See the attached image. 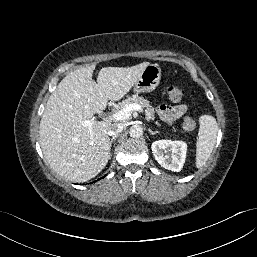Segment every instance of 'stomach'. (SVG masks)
I'll return each instance as SVG.
<instances>
[{
    "mask_svg": "<svg viewBox=\"0 0 257 257\" xmlns=\"http://www.w3.org/2000/svg\"><path fill=\"white\" fill-rule=\"evenodd\" d=\"M161 69L157 64H149L133 85L135 93L151 92L160 83Z\"/></svg>",
    "mask_w": 257,
    "mask_h": 257,
    "instance_id": "0dacf381",
    "label": "stomach"
}]
</instances>
